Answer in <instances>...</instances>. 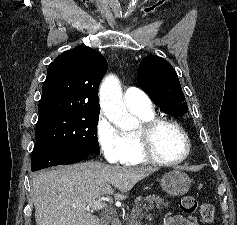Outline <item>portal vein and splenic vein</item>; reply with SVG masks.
Here are the masks:
<instances>
[{"instance_id": "18ae733b", "label": "portal vein and splenic vein", "mask_w": 237, "mask_h": 225, "mask_svg": "<svg viewBox=\"0 0 237 225\" xmlns=\"http://www.w3.org/2000/svg\"><path fill=\"white\" fill-rule=\"evenodd\" d=\"M108 204L99 201H92L88 204V208H92L93 210H102L108 208Z\"/></svg>"}]
</instances>
